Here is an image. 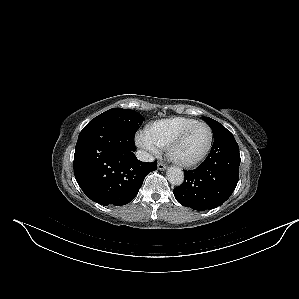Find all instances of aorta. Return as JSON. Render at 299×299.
Listing matches in <instances>:
<instances>
[{
	"mask_svg": "<svg viewBox=\"0 0 299 299\" xmlns=\"http://www.w3.org/2000/svg\"><path fill=\"white\" fill-rule=\"evenodd\" d=\"M167 179L172 185H181L184 181V173L178 167H170L167 170Z\"/></svg>",
	"mask_w": 299,
	"mask_h": 299,
	"instance_id": "762f6f07",
	"label": "aorta"
}]
</instances>
